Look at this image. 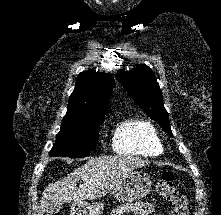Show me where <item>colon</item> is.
<instances>
[{
	"mask_svg": "<svg viewBox=\"0 0 221 215\" xmlns=\"http://www.w3.org/2000/svg\"><path fill=\"white\" fill-rule=\"evenodd\" d=\"M157 192L170 205V215H188V202L186 197L181 194L175 185V175L167 171L163 173L156 186Z\"/></svg>",
	"mask_w": 221,
	"mask_h": 215,
	"instance_id": "colon-1",
	"label": "colon"
}]
</instances>
